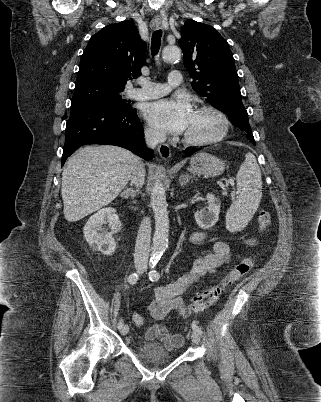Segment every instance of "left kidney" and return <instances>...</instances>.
<instances>
[{"mask_svg":"<svg viewBox=\"0 0 321 402\" xmlns=\"http://www.w3.org/2000/svg\"><path fill=\"white\" fill-rule=\"evenodd\" d=\"M208 201L207 210L197 211L194 215L196 223L203 229H209L216 224L219 219L220 201L214 194L206 195Z\"/></svg>","mask_w":321,"mask_h":402,"instance_id":"obj_1","label":"left kidney"}]
</instances>
